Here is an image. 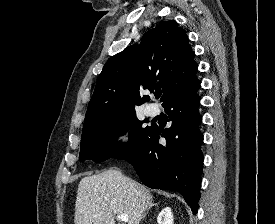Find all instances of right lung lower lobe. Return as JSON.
Returning a JSON list of instances; mask_svg holds the SVG:
<instances>
[{
    "mask_svg": "<svg viewBox=\"0 0 275 224\" xmlns=\"http://www.w3.org/2000/svg\"><path fill=\"white\" fill-rule=\"evenodd\" d=\"M200 84L195 76L191 83L163 103L172 122L169 128L150 126L136 143L114 157L131 163L146 186L181 193L194 214L200 199L204 160L203 135L199 130L202 117L198 113ZM160 137L166 142L160 143Z\"/></svg>",
    "mask_w": 275,
    "mask_h": 224,
    "instance_id": "right-lung-lower-lobe-1",
    "label": "right lung lower lobe"
}]
</instances>
